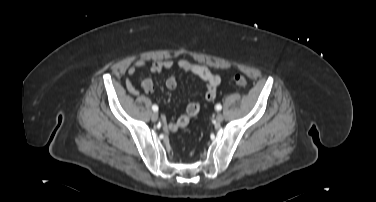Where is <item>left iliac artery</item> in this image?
Segmentation results:
<instances>
[{
    "instance_id": "1",
    "label": "left iliac artery",
    "mask_w": 376,
    "mask_h": 202,
    "mask_svg": "<svg viewBox=\"0 0 376 202\" xmlns=\"http://www.w3.org/2000/svg\"><path fill=\"white\" fill-rule=\"evenodd\" d=\"M221 109H222L221 104H217V105H216V110L220 111Z\"/></svg>"
}]
</instances>
